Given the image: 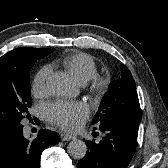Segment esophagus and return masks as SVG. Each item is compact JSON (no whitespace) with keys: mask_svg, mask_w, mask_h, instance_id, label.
<instances>
[{"mask_svg":"<svg viewBox=\"0 0 168 168\" xmlns=\"http://www.w3.org/2000/svg\"><path fill=\"white\" fill-rule=\"evenodd\" d=\"M76 137L67 133H62L61 134V140L62 141H70L72 139H75Z\"/></svg>","mask_w":168,"mask_h":168,"instance_id":"esophagus-1","label":"esophagus"}]
</instances>
